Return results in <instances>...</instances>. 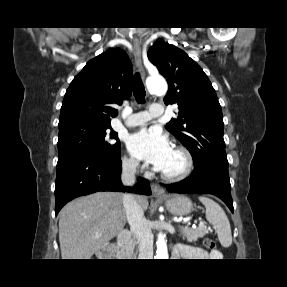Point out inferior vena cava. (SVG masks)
<instances>
[{"label": "inferior vena cava", "instance_id": "inferior-vena-cava-1", "mask_svg": "<svg viewBox=\"0 0 287 287\" xmlns=\"http://www.w3.org/2000/svg\"><path fill=\"white\" fill-rule=\"evenodd\" d=\"M136 167L135 161L123 162L121 180L124 185L131 186L135 183ZM123 204L130 230L139 245L138 259H153V235L142 207L133 194H125Z\"/></svg>", "mask_w": 287, "mask_h": 287}]
</instances>
